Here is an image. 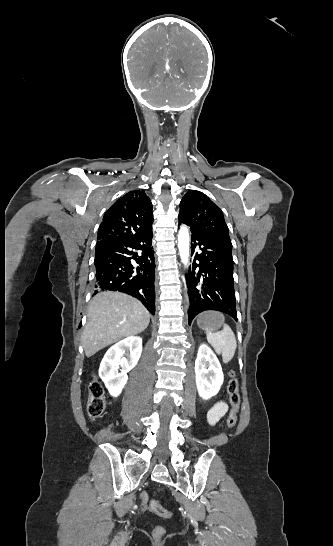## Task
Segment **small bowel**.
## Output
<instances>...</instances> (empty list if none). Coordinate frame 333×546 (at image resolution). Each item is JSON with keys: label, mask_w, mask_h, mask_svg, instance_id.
I'll return each instance as SVG.
<instances>
[{"label": "small bowel", "mask_w": 333, "mask_h": 546, "mask_svg": "<svg viewBox=\"0 0 333 546\" xmlns=\"http://www.w3.org/2000/svg\"><path fill=\"white\" fill-rule=\"evenodd\" d=\"M227 404L225 402L216 403L207 413V422L209 425L214 426L218 421L226 414ZM148 500V494L146 492L141 495V505L145 508Z\"/></svg>", "instance_id": "small-bowel-1"}]
</instances>
